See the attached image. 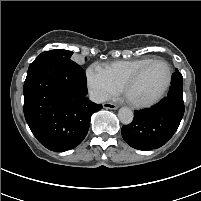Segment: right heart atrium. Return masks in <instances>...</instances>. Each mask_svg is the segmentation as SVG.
Instances as JSON below:
<instances>
[{
    "instance_id": "right-heart-atrium-1",
    "label": "right heart atrium",
    "mask_w": 201,
    "mask_h": 201,
    "mask_svg": "<svg viewBox=\"0 0 201 201\" xmlns=\"http://www.w3.org/2000/svg\"><path fill=\"white\" fill-rule=\"evenodd\" d=\"M86 80L89 92L97 102H104L116 96L120 90L107 71L98 64L87 68Z\"/></svg>"
}]
</instances>
